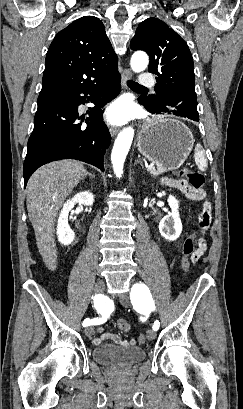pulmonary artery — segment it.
Here are the masks:
<instances>
[{
    "label": "pulmonary artery",
    "instance_id": "pulmonary-artery-1",
    "mask_svg": "<svg viewBox=\"0 0 243 409\" xmlns=\"http://www.w3.org/2000/svg\"><path fill=\"white\" fill-rule=\"evenodd\" d=\"M139 84L143 87H152L155 84V80L149 73H143L140 76Z\"/></svg>",
    "mask_w": 243,
    "mask_h": 409
}]
</instances>
